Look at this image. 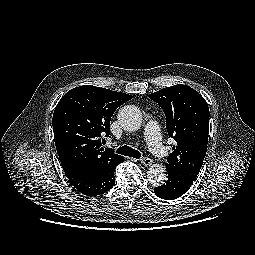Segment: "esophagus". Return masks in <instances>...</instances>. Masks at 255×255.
<instances>
[{
    "mask_svg": "<svg viewBox=\"0 0 255 255\" xmlns=\"http://www.w3.org/2000/svg\"><path fill=\"white\" fill-rule=\"evenodd\" d=\"M141 163L144 165V166H151L152 163H153V160L149 157H144L141 159Z\"/></svg>",
    "mask_w": 255,
    "mask_h": 255,
    "instance_id": "1",
    "label": "esophagus"
}]
</instances>
